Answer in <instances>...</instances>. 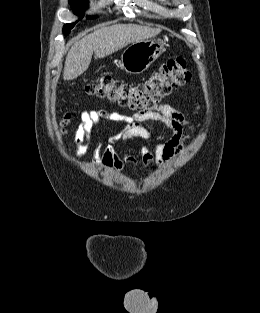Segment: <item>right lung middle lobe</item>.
I'll return each instance as SVG.
<instances>
[{"label": "right lung middle lobe", "instance_id": "obj_1", "mask_svg": "<svg viewBox=\"0 0 260 313\" xmlns=\"http://www.w3.org/2000/svg\"><path fill=\"white\" fill-rule=\"evenodd\" d=\"M69 4L72 7V10L74 11V13L76 15H81L85 9L88 8V0H69ZM91 18V17H88ZM75 23H71V24H66L63 27V31L65 33V35H67L70 32V29H72L74 27Z\"/></svg>", "mask_w": 260, "mask_h": 313}]
</instances>
